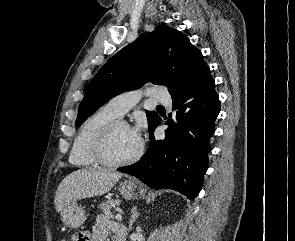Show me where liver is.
<instances>
[{
    "label": "liver",
    "instance_id": "obj_1",
    "mask_svg": "<svg viewBox=\"0 0 295 241\" xmlns=\"http://www.w3.org/2000/svg\"><path fill=\"white\" fill-rule=\"evenodd\" d=\"M123 175L104 168H83L67 175L55 193V207L61 212L77 200L103 195L111 190Z\"/></svg>",
    "mask_w": 295,
    "mask_h": 241
}]
</instances>
